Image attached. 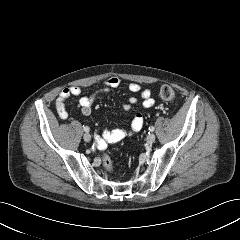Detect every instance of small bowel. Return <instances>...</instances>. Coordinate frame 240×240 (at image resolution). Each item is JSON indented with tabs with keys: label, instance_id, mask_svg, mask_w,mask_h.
<instances>
[{
	"label": "small bowel",
	"instance_id": "1",
	"mask_svg": "<svg viewBox=\"0 0 240 240\" xmlns=\"http://www.w3.org/2000/svg\"><path fill=\"white\" fill-rule=\"evenodd\" d=\"M120 79L117 77H109L104 81L102 89L95 92L90 96H85L80 99L81 112L84 116H89L92 112V106L98 96L101 94L108 93L112 89L118 88L120 86ZM129 90L133 93L140 92L142 98V106L144 108H150L154 105V99L151 96V91L149 89H141L140 85L137 83H130ZM82 90L78 86H70L63 89L58 98L56 99V111L60 118L66 119L68 117V112L66 109V101L71 96H79ZM137 103L135 97H129L123 104V108L126 111H130L132 106ZM144 125V118L141 112L135 113L130 125L128 127L117 128L113 130H105L96 135V141L101 148L106 147L107 144H112L119 142L127 137L134 135L139 132Z\"/></svg>",
	"mask_w": 240,
	"mask_h": 240
}]
</instances>
